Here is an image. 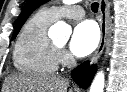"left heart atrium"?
Masks as SVG:
<instances>
[{
	"instance_id": "1",
	"label": "left heart atrium",
	"mask_w": 127,
	"mask_h": 92,
	"mask_svg": "<svg viewBox=\"0 0 127 92\" xmlns=\"http://www.w3.org/2000/svg\"><path fill=\"white\" fill-rule=\"evenodd\" d=\"M99 42V31L92 21L78 23L72 33L70 51L77 57H84L92 53Z\"/></svg>"
}]
</instances>
